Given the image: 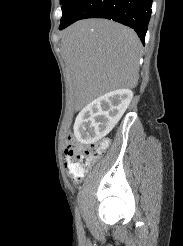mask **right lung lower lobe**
Instances as JSON below:
<instances>
[{
    "instance_id": "1",
    "label": "right lung lower lobe",
    "mask_w": 183,
    "mask_h": 246,
    "mask_svg": "<svg viewBox=\"0 0 183 246\" xmlns=\"http://www.w3.org/2000/svg\"><path fill=\"white\" fill-rule=\"evenodd\" d=\"M153 0H80L66 21L60 23L62 30L80 19L106 18L131 27L141 41L145 42Z\"/></svg>"
}]
</instances>
